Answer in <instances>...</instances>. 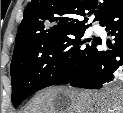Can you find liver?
<instances>
[{
    "label": "liver",
    "mask_w": 123,
    "mask_h": 113,
    "mask_svg": "<svg viewBox=\"0 0 123 113\" xmlns=\"http://www.w3.org/2000/svg\"><path fill=\"white\" fill-rule=\"evenodd\" d=\"M23 113H123V90L48 87L35 95Z\"/></svg>",
    "instance_id": "6515ba94"
}]
</instances>
